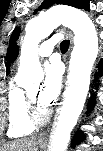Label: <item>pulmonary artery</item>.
<instances>
[{
	"instance_id": "pulmonary-artery-1",
	"label": "pulmonary artery",
	"mask_w": 103,
	"mask_h": 151,
	"mask_svg": "<svg viewBox=\"0 0 103 151\" xmlns=\"http://www.w3.org/2000/svg\"><path fill=\"white\" fill-rule=\"evenodd\" d=\"M59 40H60V36L55 35L51 37L50 39L43 41L38 48V55L40 57L49 56L52 53L54 46Z\"/></svg>"
}]
</instances>
